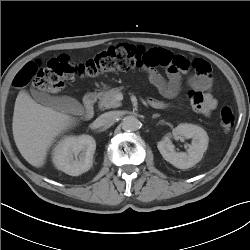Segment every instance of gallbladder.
Masks as SVG:
<instances>
[{
    "label": "gallbladder",
    "instance_id": "bac80fb5",
    "mask_svg": "<svg viewBox=\"0 0 250 250\" xmlns=\"http://www.w3.org/2000/svg\"><path fill=\"white\" fill-rule=\"evenodd\" d=\"M32 96L40 104L55 111L79 115L84 113V108L76 99L69 96H51L43 91H32Z\"/></svg>",
    "mask_w": 250,
    "mask_h": 250
}]
</instances>
